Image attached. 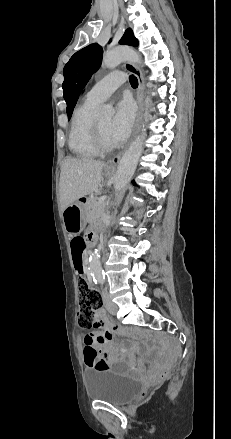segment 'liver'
<instances>
[{"instance_id": "obj_1", "label": "liver", "mask_w": 231, "mask_h": 439, "mask_svg": "<svg viewBox=\"0 0 231 439\" xmlns=\"http://www.w3.org/2000/svg\"><path fill=\"white\" fill-rule=\"evenodd\" d=\"M104 166V162L91 159L67 158L63 162L59 182L63 209L99 188Z\"/></svg>"}]
</instances>
